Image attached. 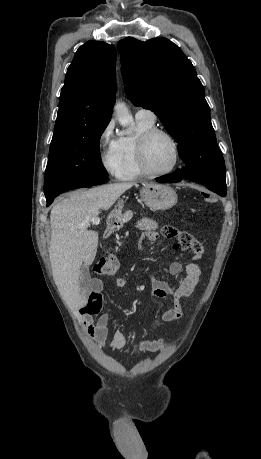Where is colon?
Instances as JSON below:
<instances>
[{
	"instance_id": "5ec220e1",
	"label": "colon",
	"mask_w": 261,
	"mask_h": 459,
	"mask_svg": "<svg viewBox=\"0 0 261 459\" xmlns=\"http://www.w3.org/2000/svg\"><path fill=\"white\" fill-rule=\"evenodd\" d=\"M201 196L204 197L207 203H215L216 197L212 195L211 188H202ZM162 233L165 237H170L174 233L172 227H164ZM119 268V261L116 256L109 255L107 257H101L94 264L93 270L99 275H112ZM103 306V296L101 293H92L91 298L87 306L83 309V314L88 316H95L99 314Z\"/></svg>"
}]
</instances>
